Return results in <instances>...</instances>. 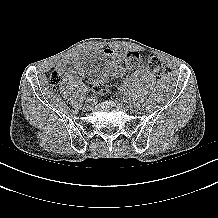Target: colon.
Listing matches in <instances>:
<instances>
[{
  "mask_svg": "<svg viewBox=\"0 0 218 218\" xmlns=\"http://www.w3.org/2000/svg\"><path fill=\"white\" fill-rule=\"evenodd\" d=\"M140 62V56L138 53L134 52L130 54L124 65L120 67L110 68L104 75V78L94 84V89L97 94L103 96L111 92L112 87L108 85L107 80L118 78L125 73H127L131 68L137 66ZM147 66L149 70L157 75L161 76L165 67L162 61L155 55H150L147 59ZM61 73L58 70H54L50 75V84L56 86L61 80Z\"/></svg>",
  "mask_w": 218,
  "mask_h": 218,
  "instance_id": "obj_1",
  "label": "colon"
}]
</instances>
